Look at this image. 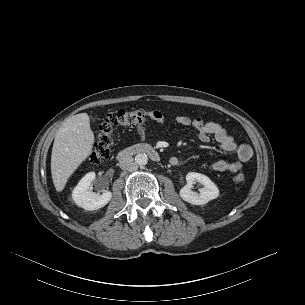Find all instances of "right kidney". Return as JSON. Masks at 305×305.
Here are the masks:
<instances>
[{
    "label": "right kidney",
    "instance_id": "ca27d5eb",
    "mask_svg": "<svg viewBox=\"0 0 305 305\" xmlns=\"http://www.w3.org/2000/svg\"><path fill=\"white\" fill-rule=\"evenodd\" d=\"M96 177L95 172L87 173L77 184L72 192V198L77 206L85 210H97L104 207L112 197L110 191L105 190L101 195H97L91 190L89 186Z\"/></svg>",
    "mask_w": 305,
    "mask_h": 305
}]
</instances>
